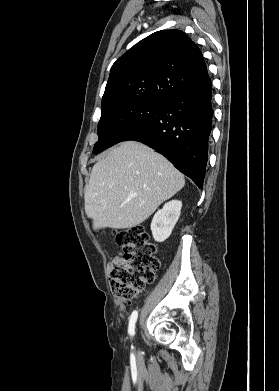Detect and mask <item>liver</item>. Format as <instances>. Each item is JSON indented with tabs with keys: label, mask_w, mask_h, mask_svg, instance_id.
Returning a JSON list of instances; mask_svg holds the SVG:
<instances>
[{
	"label": "liver",
	"mask_w": 279,
	"mask_h": 391,
	"mask_svg": "<svg viewBox=\"0 0 279 391\" xmlns=\"http://www.w3.org/2000/svg\"><path fill=\"white\" fill-rule=\"evenodd\" d=\"M184 185V176L164 156L142 143L122 142L93 166L85 212L94 230L132 228Z\"/></svg>",
	"instance_id": "obj_1"
}]
</instances>
